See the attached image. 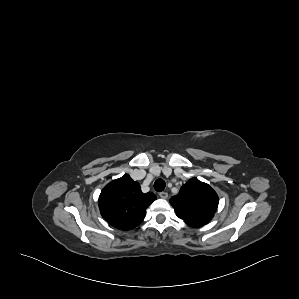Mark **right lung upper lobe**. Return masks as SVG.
Listing matches in <instances>:
<instances>
[{
	"label": "right lung upper lobe",
	"instance_id": "right-lung-upper-lobe-1",
	"mask_svg": "<svg viewBox=\"0 0 299 299\" xmlns=\"http://www.w3.org/2000/svg\"><path fill=\"white\" fill-rule=\"evenodd\" d=\"M155 199L152 192L143 193L139 183L125 174L103 188L99 208L110 225L120 230H131L143 221L146 208Z\"/></svg>",
	"mask_w": 299,
	"mask_h": 299
}]
</instances>
